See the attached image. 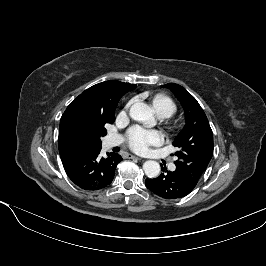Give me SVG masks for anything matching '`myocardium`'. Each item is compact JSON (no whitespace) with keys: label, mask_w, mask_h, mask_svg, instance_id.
<instances>
[{"label":"myocardium","mask_w":266,"mask_h":266,"mask_svg":"<svg viewBox=\"0 0 266 266\" xmlns=\"http://www.w3.org/2000/svg\"><path fill=\"white\" fill-rule=\"evenodd\" d=\"M177 127V124L176 123H174V122H169L168 123V128L169 129H174V128H176Z\"/></svg>","instance_id":"obj_1"}]
</instances>
